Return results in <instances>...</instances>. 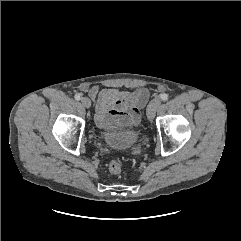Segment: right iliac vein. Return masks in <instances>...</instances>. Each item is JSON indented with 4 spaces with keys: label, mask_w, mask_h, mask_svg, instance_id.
I'll return each mask as SVG.
<instances>
[{
    "label": "right iliac vein",
    "mask_w": 241,
    "mask_h": 241,
    "mask_svg": "<svg viewBox=\"0 0 241 241\" xmlns=\"http://www.w3.org/2000/svg\"><path fill=\"white\" fill-rule=\"evenodd\" d=\"M81 103H82V105H83L84 107H86V108H90V106H91V101H90V99L87 98V97H82V98H81Z\"/></svg>",
    "instance_id": "63e3f726"
}]
</instances>
